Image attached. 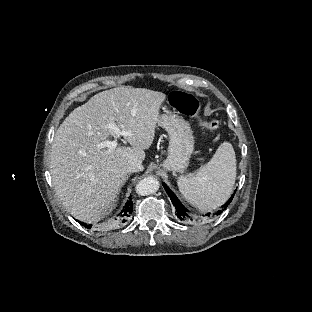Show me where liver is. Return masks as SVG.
<instances>
[{"instance_id": "obj_1", "label": "liver", "mask_w": 312, "mask_h": 312, "mask_svg": "<svg viewBox=\"0 0 312 312\" xmlns=\"http://www.w3.org/2000/svg\"><path fill=\"white\" fill-rule=\"evenodd\" d=\"M166 95L145 88L118 87L94 95L75 108L55 133L50 152V174L56 195L67 211L87 224L113 207L128 179V165L145 159L159 122ZM114 120L132 147L101 149Z\"/></svg>"}]
</instances>
